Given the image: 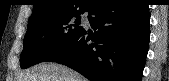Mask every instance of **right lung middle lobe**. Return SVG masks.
<instances>
[{
	"instance_id": "obj_1",
	"label": "right lung middle lobe",
	"mask_w": 169,
	"mask_h": 81,
	"mask_svg": "<svg viewBox=\"0 0 169 81\" xmlns=\"http://www.w3.org/2000/svg\"><path fill=\"white\" fill-rule=\"evenodd\" d=\"M82 30L79 15L46 18L28 24L20 57L21 68L45 61L73 41Z\"/></svg>"
}]
</instances>
